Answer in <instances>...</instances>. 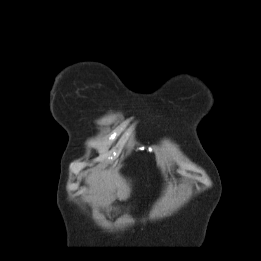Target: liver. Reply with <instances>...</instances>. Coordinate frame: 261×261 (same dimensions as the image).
Segmentation results:
<instances>
[{
	"mask_svg": "<svg viewBox=\"0 0 261 261\" xmlns=\"http://www.w3.org/2000/svg\"><path fill=\"white\" fill-rule=\"evenodd\" d=\"M89 184V194L86 201L98 207H107L119 198L126 200L130 194L127 182L112 170H93L86 177Z\"/></svg>",
	"mask_w": 261,
	"mask_h": 261,
	"instance_id": "liver-1",
	"label": "liver"
}]
</instances>
